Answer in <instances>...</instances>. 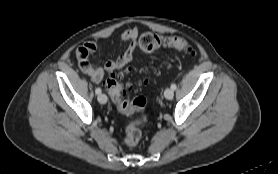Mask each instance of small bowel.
<instances>
[{"label": "small bowel", "instance_id": "obj_1", "mask_svg": "<svg viewBox=\"0 0 278 174\" xmlns=\"http://www.w3.org/2000/svg\"><path fill=\"white\" fill-rule=\"evenodd\" d=\"M138 29L129 28L122 33L121 41L126 45L125 51L114 60H107L101 65L93 64L90 56L97 50L95 41H87L76 50V58L81 71L98 84L102 81L105 71L113 72L123 69L133 58L138 48Z\"/></svg>", "mask_w": 278, "mask_h": 174}]
</instances>
